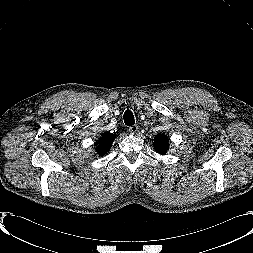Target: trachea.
I'll list each match as a JSON object with an SVG mask.
<instances>
[{
  "label": "trachea",
  "instance_id": "3493384b",
  "mask_svg": "<svg viewBox=\"0 0 253 253\" xmlns=\"http://www.w3.org/2000/svg\"><path fill=\"white\" fill-rule=\"evenodd\" d=\"M124 123L127 126H132L135 123L133 113L130 110H126L124 113Z\"/></svg>",
  "mask_w": 253,
  "mask_h": 253
}]
</instances>
